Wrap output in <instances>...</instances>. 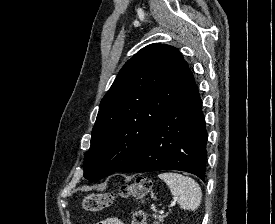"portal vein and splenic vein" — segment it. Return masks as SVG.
Wrapping results in <instances>:
<instances>
[{
	"label": "portal vein and splenic vein",
	"instance_id": "1",
	"mask_svg": "<svg viewBox=\"0 0 275 224\" xmlns=\"http://www.w3.org/2000/svg\"><path fill=\"white\" fill-rule=\"evenodd\" d=\"M160 213L162 214V213H164V211H163V210H161V211H160Z\"/></svg>",
	"mask_w": 275,
	"mask_h": 224
}]
</instances>
